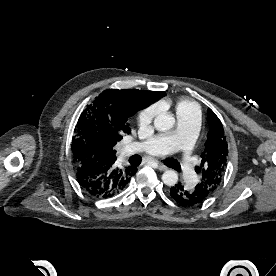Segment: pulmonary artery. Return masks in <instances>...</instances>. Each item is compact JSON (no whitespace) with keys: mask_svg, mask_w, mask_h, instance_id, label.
Segmentation results:
<instances>
[{"mask_svg":"<svg viewBox=\"0 0 276 276\" xmlns=\"http://www.w3.org/2000/svg\"><path fill=\"white\" fill-rule=\"evenodd\" d=\"M178 127L174 131L155 135L142 143H131L125 146V152H132L133 148H139L151 155H166L177 151L188 153L194 144L200 124V112L186 110L177 113ZM194 159L183 157L185 173H191L194 168ZM196 178L188 177V184H194Z\"/></svg>","mask_w":276,"mask_h":276,"instance_id":"e3ab8cb5","label":"pulmonary artery"}]
</instances>
